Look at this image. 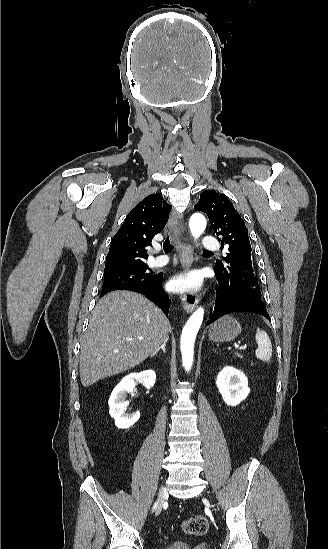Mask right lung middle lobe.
<instances>
[{
	"instance_id": "right-lung-middle-lobe-1",
	"label": "right lung middle lobe",
	"mask_w": 328,
	"mask_h": 549,
	"mask_svg": "<svg viewBox=\"0 0 328 549\" xmlns=\"http://www.w3.org/2000/svg\"><path fill=\"white\" fill-rule=\"evenodd\" d=\"M157 277L146 264L104 272V283L101 294L105 295L110 291L118 289L128 290L134 287H147Z\"/></svg>"
}]
</instances>
